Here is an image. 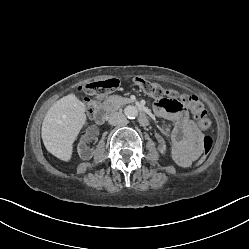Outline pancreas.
Listing matches in <instances>:
<instances>
[{"instance_id": "pancreas-1", "label": "pancreas", "mask_w": 249, "mask_h": 249, "mask_svg": "<svg viewBox=\"0 0 249 249\" xmlns=\"http://www.w3.org/2000/svg\"><path fill=\"white\" fill-rule=\"evenodd\" d=\"M129 102H131L129 98L121 97L119 95L110 96L106 100V104H116L117 106L123 105L125 103H129Z\"/></svg>"}]
</instances>
